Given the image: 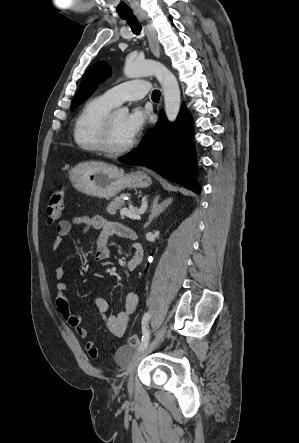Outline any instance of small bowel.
I'll list each match as a JSON object with an SVG mask.
<instances>
[{
    "label": "small bowel",
    "instance_id": "c3829d8e",
    "mask_svg": "<svg viewBox=\"0 0 299 443\" xmlns=\"http://www.w3.org/2000/svg\"><path fill=\"white\" fill-rule=\"evenodd\" d=\"M74 224L81 225L85 230L92 229L98 231L96 240L95 259L97 261H104L111 257V252L108 247L109 238L112 235H118L123 238H129V233L132 229L120 224L114 223L100 215L94 216H78L72 220H63L58 223L56 227V237L53 243V251H58L62 245L63 238L68 236ZM130 239V238H129ZM142 253L136 251L126 262L129 270H134L141 263ZM56 277V307L61 316L66 322L75 330L80 338H87L89 335L88 329L82 323V316L79 313H74L70 309L68 299L65 296L67 289V282L65 280V268L61 264H57L54 268ZM138 295L134 291H128L124 296L123 309L117 313L107 314L108 303L102 298H95L94 305L98 313L102 316L108 332L116 338H121L125 335L130 316L137 308ZM86 349L91 358L97 359L101 356L100 350L91 340L86 342ZM122 348L115 350L114 355L117 357Z\"/></svg>",
    "mask_w": 299,
    "mask_h": 443
}]
</instances>
